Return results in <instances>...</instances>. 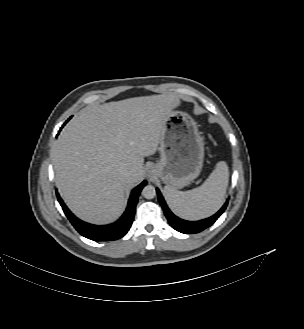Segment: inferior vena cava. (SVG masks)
Masks as SVG:
<instances>
[{
	"mask_svg": "<svg viewBox=\"0 0 304 329\" xmlns=\"http://www.w3.org/2000/svg\"><path fill=\"white\" fill-rule=\"evenodd\" d=\"M120 173H121V175H122V177H123L124 179H127V178L130 176V174H131L130 170H128V169H126V168L121 169V170H120Z\"/></svg>",
	"mask_w": 304,
	"mask_h": 329,
	"instance_id": "602c4592",
	"label": "inferior vena cava"
}]
</instances>
